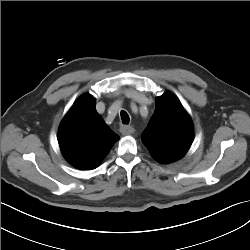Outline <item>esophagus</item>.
<instances>
[{
  "instance_id": "34e87169",
  "label": "esophagus",
  "mask_w": 250,
  "mask_h": 250,
  "mask_svg": "<svg viewBox=\"0 0 250 250\" xmlns=\"http://www.w3.org/2000/svg\"><path fill=\"white\" fill-rule=\"evenodd\" d=\"M120 132L123 135H131V134H133L135 132V129L130 125H121L120 126Z\"/></svg>"
}]
</instances>
